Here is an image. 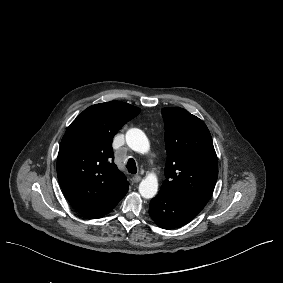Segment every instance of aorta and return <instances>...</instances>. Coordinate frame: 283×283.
I'll return each mask as SVG.
<instances>
[{
  "label": "aorta",
  "mask_w": 283,
  "mask_h": 283,
  "mask_svg": "<svg viewBox=\"0 0 283 283\" xmlns=\"http://www.w3.org/2000/svg\"><path fill=\"white\" fill-rule=\"evenodd\" d=\"M126 143L135 152L145 154L150 144L145 133L138 128H131L126 133ZM158 191V180L153 174L147 175L139 184V193L143 198H153Z\"/></svg>",
  "instance_id": "obj_1"
}]
</instances>
